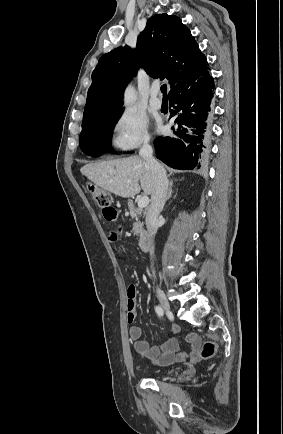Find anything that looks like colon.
<instances>
[{"label":"colon","instance_id":"1","mask_svg":"<svg viewBox=\"0 0 283 434\" xmlns=\"http://www.w3.org/2000/svg\"><path fill=\"white\" fill-rule=\"evenodd\" d=\"M89 190L94 201L101 207H109L112 202V197L109 192L101 188L90 186ZM217 352V344L214 341H206L199 349V357L201 359H209Z\"/></svg>","mask_w":283,"mask_h":434}]
</instances>
